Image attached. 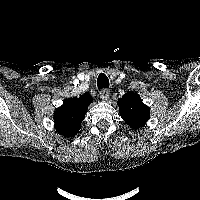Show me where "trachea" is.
Segmentation results:
<instances>
[{
	"label": "trachea",
	"mask_w": 200,
	"mask_h": 200,
	"mask_svg": "<svg viewBox=\"0 0 200 200\" xmlns=\"http://www.w3.org/2000/svg\"><path fill=\"white\" fill-rule=\"evenodd\" d=\"M97 86L99 89L109 87V79L105 74H100L97 78Z\"/></svg>",
	"instance_id": "obj_1"
}]
</instances>
